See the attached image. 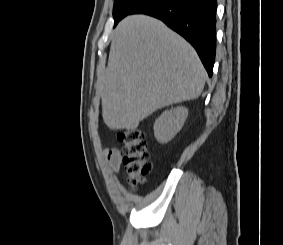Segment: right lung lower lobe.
Returning <instances> with one entry per match:
<instances>
[{
  "label": "right lung lower lobe",
  "mask_w": 283,
  "mask_h": 245,
  "mask_svg": "<svg viewBox=\"0 0 283 245\" xmlns=\"http://www.w3.org/2000/svg\"><path fill=\"white\" fill-rule=\"evenodd\" d=\"M216 0H146L130 14L143 13L162 20L196 49L208 75L216 51Z\"/></svg>",
  "instance_id": "1"
}]
</instances>
